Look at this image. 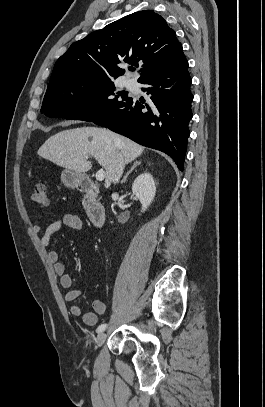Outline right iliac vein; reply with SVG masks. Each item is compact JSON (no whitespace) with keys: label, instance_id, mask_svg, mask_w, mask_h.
Returning <instances> with one entry per match:
<instances>
[{"label":"right iliac vein","instance_id":"1","mask_svg":"<svg viewBox=\"0 0 265 407\" xmlns=\"http://www.w3.org/2000/svg\"><path fill=\"white\" fill-rule=\"evenodd\" d=\"M105 339H106V334L104 332H100L97 336L98 346H101L104 343Z\"/></svg>","mask_w":265,"mask_h":407}]
</instances>
